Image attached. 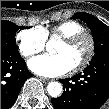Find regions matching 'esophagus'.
I'll return each mask as SVG.
<instances>
[{
	"instance_id": "34e87169",
	"label": "esophagus",
	"mask_w": 109,
	"mask_h": 109,
	"mask_svg": "<svg viewBox=\"0 0 109 109\" xmlns=\"http://www.w3.org/2000/svg\"><path fill=\"white\" fill-rule=\"evenodd\" d=\"M40 80L44 83H48L51 81V79H48V78H44V77H40Z\"/></svg>"
}]
</instances>
